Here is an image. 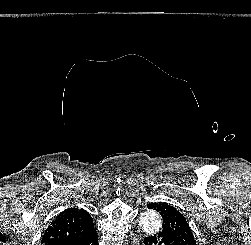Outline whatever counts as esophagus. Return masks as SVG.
<instances>
[{
  "label": "esophagus",
  "mask_w": 251,
  "mask_h": 245,
  "mask_svg": "<svg viewBox=\"0 0 251 245\" xmlns=\"http://www.w3.org/2000/svg\"><path fill=\"white\" fill-rule=\"evenodd\" d=\"M138 242H139V238L138 237H135L134 239H133V245H137L138 244Z\"/></svg>",
  "instance_id": "34e87169"
}]
</instances>
